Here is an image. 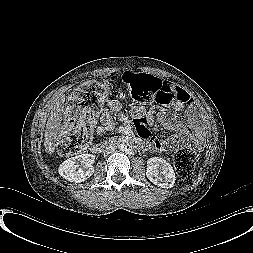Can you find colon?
Wrapping results in <instances>:
<instances>
[{"label": "colon", "mask_w": 253, "mask_h": 253, "mask_svg": "<svg viewBox=\"0 0 253 253\" xmlns=\"http://www.w3.org/2000/svg\"><path fill=\"white\" fill-rule=\"evenodd\" d=\"M123 82L130 96L142 104L157 103L167 106L180 99V94L171 83L151 74L129 71L123 75ZM108 93L107 85L100 81L85 82L72 93L58 141L60 153L73 155L87 146L91 126ZM197 158L196 151L190 145L182 143L173 156L178 175H190Z\"/></svg>", "instance_id": "5ec220e1"}]
</instances>
